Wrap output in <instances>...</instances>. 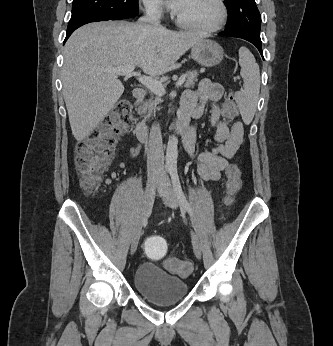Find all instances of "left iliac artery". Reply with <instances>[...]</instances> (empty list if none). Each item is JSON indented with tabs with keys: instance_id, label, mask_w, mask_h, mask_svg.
<instances>
[{
	"instance_id": "left-iliac-artery-1",
	"label": "left iliac artery",
	"mask_w": 333,
	"mask_h": 346,
	"mask_svg": "<svg viewBox=\"0 0 333 346\" xmlns=\"http://www.w3.org/2000/svg\"><path fill=\"white\" fill-rule=\"evenodd\" d=\"M170 176H171L174 191L177 195L180 206L183 209H185L190 215H192V209H191V207H190V205H189V203H188V201H187V199L183 193L182 187H181L177 168H171L170 169Z\"/></svg>"
}]
</instances>
